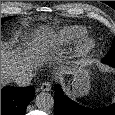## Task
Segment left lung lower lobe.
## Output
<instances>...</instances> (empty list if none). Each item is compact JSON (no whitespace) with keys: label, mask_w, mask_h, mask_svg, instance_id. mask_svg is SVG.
Instances as JSON below:
<instances>
[{"label":"left lung lower lobe","mask_w":115,"mask_h":115,"mask_svg":"<svg viewBox=\"0 0 115 115\" xmlns=\"http://www.w3.org/2000/svg\"><path fill=\"white\" fill-rule=\"evenodd\" d=\"M115 67V63H106ZM56 95L54 96V115H115V104L99 109H90L78 105L64 95L59 85L55 86Z\"/></svg>","instance_id":"0a47b994"}]
</instances>
